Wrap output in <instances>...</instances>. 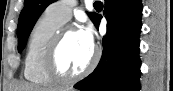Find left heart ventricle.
Here are the masks:
<instances>
[{"mask_svg":"<svg viewBox=\"0 0 173 91\" xmlns=\"http://www.w3.org/2000/svg\"><path fill=\"white\" fill-rule=\"evenodd\" d=\"M93 47L88 46L79 32L69 33L63 40L58 53V68L66 74L81 72L91 61Z\"/></svg>","mask_w":173,"mask_h":91,"instance_id":"b2bd125f","label":"left heart ventricle"}]
</instances>
